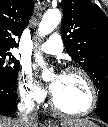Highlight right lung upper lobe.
Masks as SVG:
<instances>
[{
    "instance_id": "1",
    "label": "right lung upper lobe",
    "mask_w": 108,
    "mask_h": 127,
    "mask_svg": "<svg viewBox=\"0 0 108 127\" xmlns=\"http://www.w3.org/2000/svg\"><path fill=\"white\" fill-rule=\"evenodd\" d=\"M32 11L33 0H0V51L17 46Z\"/></svg>"
}]
</instances>
